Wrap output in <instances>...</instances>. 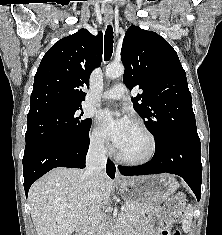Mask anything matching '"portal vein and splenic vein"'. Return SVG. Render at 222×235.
<instances>
[{
    "label": "portal vein and splenic vein",
    "mask_w": 222,
    "mask_h": 235,
    "mask_svg": "<svg viewBox=\"0 0 222 235\" xmlns=\"http://www.w3.org/2000/svg\"><path fill=\"white\" fill-rule=\"evenodd\" d=\"M109 209H110V207H109ZM121 210H122V211H125V210H126V207H125V206H121Z\"/></svg>",
    "instance_id": "18ae733b"
}]
</instances>
